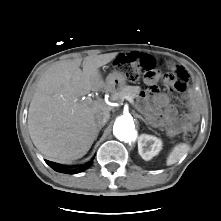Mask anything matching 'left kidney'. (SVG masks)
<instances>
[{
	"label": "left kidney",
	"mask_w": 221,
	"mask_h": 221,
	"mask_svg": "<svg viewBox=\"0 0 221 221\" xmlns=\"http://www.w3.org/2000/svg\"><path fill=\"white\" fill-rule=\"evenodd\" d=\"M162 148L161 139L153 136L142 134L138 141V151L144 160H151Z\"/></svg>",
	"instance_id": "5707ae66"
}]
</instances>
